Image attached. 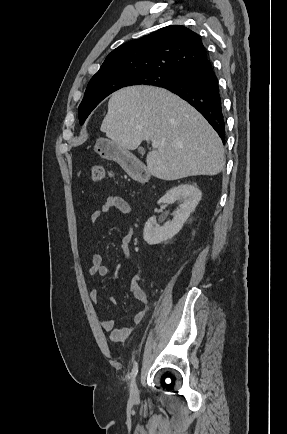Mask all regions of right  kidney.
I'll return each mask as SVG.
<instances>
[{"instance_id":"right-kidney-1","label":"right kidney","mask_w":287,"mask_h":434,"mask_svg":"<svg viewBox=\"0 0 287 434\" xmlns=\"http://www.w3.org/2000/svg\"><path fill=\"white\" fill-rule=\"evenodd\" d=\"M201 197V191L193 184L186 183L171 188L159 199L158 204H171L178 200L181 203L179 208L173 213V219L163 226L157 225L153 217L149 218L143 230L144 241L155 245L173 238L182 229Z\"/></svg>"}]
</instances>
